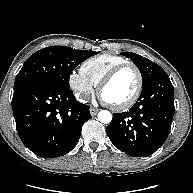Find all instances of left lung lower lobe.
<instances>
[{
	"label": "left lung lower lobe",
	"instance_id": "0a47b994",
	"mask_svg": "<svg viewBox=\"0 0 193 193\" xmlns=\"http://www.w3.org/2000/svg\"><path fill=\"white\" fill-rule=\"evenodd\" d=\"M174 90L167 74L142 89L128 111L113 113L106 132L120 151L130 156H149L167 139L174 115Z\"/></svg>",
	"mask_w": 193,
	"mask_h": 193
}]
</instances>
